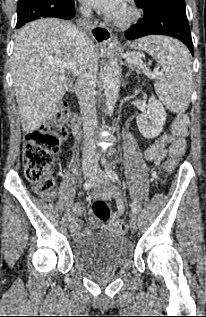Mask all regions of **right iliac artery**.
Segmentation results:
<instances>
[{"label":"right iliac artery","mask_w":206,"mask_h":317,"mask_svg":"<svg viewBox=\"0 0 206 317\" xmlns=\"http://www.w3.org/2000/svg\"><path fill=\"white\" fill-rule=\"evenodd\" d=\"M97 180H98V177H91L89 180H87V181L84 183L83 189H84V190H89V189H91V188L95 185V183H96ZM69 221H70V222L74 221V216H73V215H70V216H69Z\"/></svg>","instance_id":"obj_1"}]
</instances>
